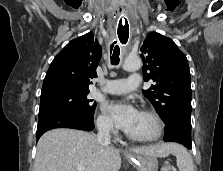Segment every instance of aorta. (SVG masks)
Instances as JSON below:
<instances>
[{"instance_id": "1", "label": "aorta", "mask_w": 223, "mask_h": 171, "mask_svg": "<svg viewBox=\"0 0 223 171\" xmlns=\"http://www.w3.org/2000/svg\"><path fill=\"white\" fill-rule=\"evenodd\" d=\"M141 67V60L138 57H127L123 63V69L128 72L136 71Z\"/></svg>"}]
</instances>
